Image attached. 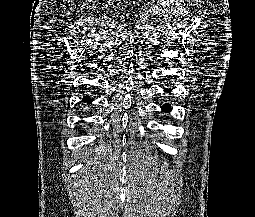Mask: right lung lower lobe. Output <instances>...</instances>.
<instances>
[{"label": "right lung lower lobe", "mask_w": 255, "mask_h": 217, "mask_svg": "<svg viewBox=\"0 0 255 217\" xmlns=\"http://www.w3.org/2000/svg\"><path fill=\"white\" fill-rule=\"evenodd\" d=\"M85 102H91L92 99L89 96H85L83 99Z\"/></svg>", "instance_id": "1"}]
</instances>
